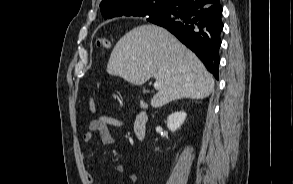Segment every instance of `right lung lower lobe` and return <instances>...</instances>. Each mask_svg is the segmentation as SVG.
I'll use <instances>...</instances> for the list:
<instances>
[{
	"mask_svg": "<svg viewBox=\"0 0 293 184\" xmlns=\"http://www.w3.org/2000/svg\"><path fill=\"white\" fill-rule=\"evenodd\" d=\"M202 0H172L157 19L148 20L165 27L202 60L206 68L219 78L220 33L222 7L219 0L204 6Z\"/></svg>",
	"mask_w": 293,
	"mask_h": 184,
	"instance_id": "98d812e1",
	"label": "right lung lower lobe"
}]
</instances>
